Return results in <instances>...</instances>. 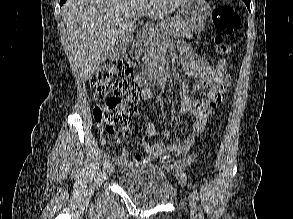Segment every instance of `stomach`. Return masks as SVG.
<instances>
[{"label":"stomach","mask_w":293,"mask_h":219,"mask_svg":"<svg viewBox=\"0 0 293 219\" xmlns=\"http://www.w3.org/2000/svg\"><path fill=\"white\" fill-rule=\"evenodd\" d=\"M211 14L212 8L206 0H186L181 5V15L188 28L195 33L203 30L205 22Z\"/></svg>","instance_id":"stomach-1"}]
</instances>
